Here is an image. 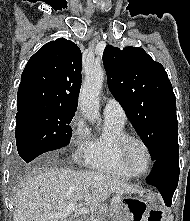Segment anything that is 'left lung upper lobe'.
Listing matches in <instances>:
<instances>
[{"instance_id":"1","label":"left lung upper lobe","mask_w":190,"mask_h":221,"mask_svg":"<svg viewBox=\"0 0 190 221\" xmlns=\"http://www.w3.org/2000/svg\"><path fill=\"white\" fill-rule=\"evenodd\" d=\"M108 87L155 161L178 145L176 98L163 66L142 48L107 45L103 53Z\"/></svg>"}]
</instances>
